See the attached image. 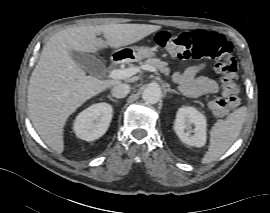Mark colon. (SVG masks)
Returning a JSON list of instances; mask_svg holds the SVG:
<instances>
[{
  "instance_id": "colon-1",
  "label": "colon",
  "mask_w": 270,
  "mask_h": 213,
  "mask_svg": "<svg viewBox=\"0 0 270 213\" xmlns=\"http://www.w3.org/2000/svg\"><path fill=\"white\" fill-rule=\"evenodd\" d=\"M156 45L180 59L216 60L215 70L222 76L223 95L212 100L210 106L216 116H221L239 104L240 86L236 83L237 64L232 54V44L214 31L196 30L172 34L160 31Z\"/></svg>"
}]
</instances>
